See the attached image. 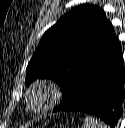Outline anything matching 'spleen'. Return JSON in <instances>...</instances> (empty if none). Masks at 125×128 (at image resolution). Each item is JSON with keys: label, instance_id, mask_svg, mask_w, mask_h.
<instances>
[{"label": "spleen", "instance_id": "spleen-1", "mask_svg": "<svg viewBox=\"0 0 125 128\" xmlns=\"http://www.w3.org/2000/svg\"><path fill=\"white\" fill-rule=\"evenodd\" d=\"M83 128H108V126L101 121H97L92 116H86L83 122Z\"/></svg>", "mask_w": 125, "mask_h": 128}]
</instances>
